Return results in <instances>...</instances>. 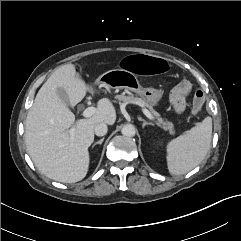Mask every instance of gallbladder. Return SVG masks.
Segmentation results:
<instances>
[{
    "mask_svg": "<svg viewBox=\"0 0 241 241\" xmlns=\"http://www.w3.org/2000/svg\"><path fill=\"white\" fill-rule=\"evenodd\" d=\"M57 93H58L59 97L61 98V100L67 105L68 104V97H67L65 91L61 88H58Z\"/></svg>",
    "mask_w": 241,
    "mask_h": 241,
    "instance_id": "bac80fb5",
    "label": "gallbladder"
}]
</instances>
